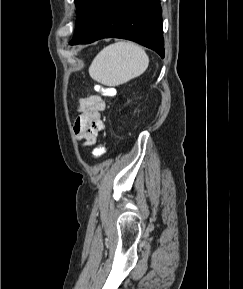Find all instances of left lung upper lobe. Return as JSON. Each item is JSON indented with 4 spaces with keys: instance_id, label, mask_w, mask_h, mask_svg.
Listing matches in <instances>:
<instances>
[{
    "instance_id": "1",
    "label": "left lung upper lobe",
    "mask_w": 243,
    "mask_h": 289,
    "mask_svg": "<svg viewBox=\"0 0 243 289\" xmlns=\"http://www.w3.org/2000/svg\"><path fill=\"white\" fill-rule=\"evenodd\" d=\"M89 0H75L77 14L79 15Z\"/></svg>"
}]
</instances>
